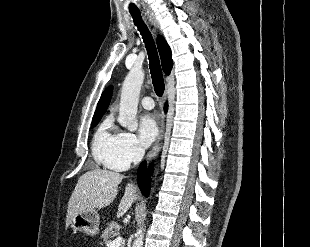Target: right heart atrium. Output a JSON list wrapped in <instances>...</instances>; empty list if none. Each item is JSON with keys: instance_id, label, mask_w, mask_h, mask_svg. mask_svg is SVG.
<instances>
[{"instance_id": "obj_1", "label": "right heart atrium", "mask_w": 310, "mask_h": 247, "mask_svg": "<svg viewBox=\"0 0 310 247\" xmlns=\"http://www.w3.org/2000/svg\"><path fill=\"white\" fill-rule=\"evenodd\" d=\"M143 155V149L137 136L128 131L118 134L111 164L116 170H124L132 163L138 161Z\"/></svg>"}]
</instances>
